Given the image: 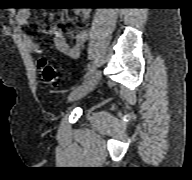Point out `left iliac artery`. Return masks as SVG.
Here are the masks:
<instances>
[{"instance_id":"obj_1","label":"left iliac artery","mask_w":192,"mask_h":180,"mask_svg":"<svg viewBox=\"0 0 192 180\" xmlns=\"http://www.w3.org/2000/svg\"><path fill=\"white\" fill-rule=\"evenodd\" d=\"M94 73V67L92 66L89 71L84 75L83 81H86Z\"/></svg>"}]
</instances>
